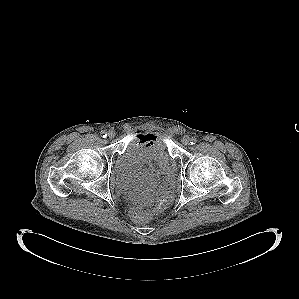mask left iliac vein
I'll return each instance as SVG.
<instances>
[{"mask_svg": "<svg viewBox=\"0 0 299 299\" xmlns=\"http://www.w3.org/2000/svg\"><path fill=\"white\" fill-rule=\"evenodd\" d=\"M190 141H191V139H190L188 136H184V137L182 138V143H183L184 145H189V144H190Z\"/></svg>", "mask_w": 299, "mask_h": 299, "instance_id": "1", "label": "left iliac vein"}]
</instances>
